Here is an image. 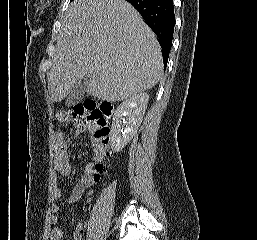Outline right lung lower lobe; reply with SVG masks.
<instances>
[{
	"mask_svg": "<svg viewBox=\"0 0 257 240\" xmlns=\"http://www.w3.org/2000/svg\"><path fill=\"white\" fill-rule=\"evenodd\" d=\"M141 14L158 37L166 68L173 38L175 14L173 0H126Z\"/></svg>",
	"mask_w": 257,
	"mask_h": 240,
	"instance_id": "1",
	"label": "right lung lower lobe"
}]
</instances>
